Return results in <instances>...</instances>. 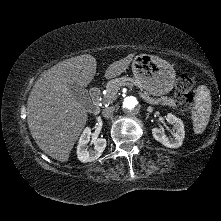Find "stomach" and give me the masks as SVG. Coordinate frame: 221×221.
<instances>
[{
  "mask_svg": "<svg viewBox=\"0 0 221 221\" xmlns=\"http://www.w3.org/2000/svg\"><path fill=\"white\" fill-rule=\"evenodd\" d=\"M131 68L135 81L148 94L162 96L174 86L176 74L173 66L158 56L139 54Z\"/></svg>",
  "mask_w": 221,
  "mask_h": 221,
  "instance_id": "0dacf381",
  "label": "stomach"
}]
</instances>
